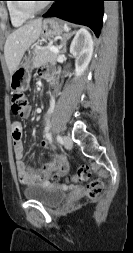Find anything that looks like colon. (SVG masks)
Returning a JSON list of instances; mask_svg holds the SVG:
<instances>
[{
    "label": "colon",
    "instance_id": "colon-1",
    "mask_svg": "<svg viewBox=\"0 0 133 253\" xmlns=\"http://www.w3.org/2000/svg\"><path fill=\"white\" fill-rule=\"evenodd\" d=\"M27 98L23 93H15L11 97V110L15 115L22 116L27 108ZM63 175L60 172H56L53 175L54 180H59ZM91 176L89 166H80L76 173L68 177L69 181L81 183L87 181ZM104 183L101 180H92L86 186L87 196L91 199L96 198L103 190Z\"/></svg>",
    "mask_w": 133,
    "mask_h": 253
}]
</instances>
